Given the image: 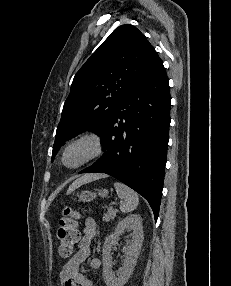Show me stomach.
<instances>
[{
  "label": "stomach",
  "instance_id": "obj_1",
  "mask_svg": "<svg viewBox=\"0 0 231 286\" xmlns=\"http://www.w3.org/2000/svg\"><path fill=\"white\" fill-rule=\"evenodd\" d=\"M107 195H108V190L101 189L98 191V194L92 191H83L80 195H78V198H79V201L90 202L94 200L97 196L104 198V197H107Z\"/></svg>",
  "mask_w": 231,
  "mask_h": 286
}]
</instances>
